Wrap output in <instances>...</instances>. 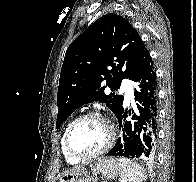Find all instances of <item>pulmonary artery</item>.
<instances>
[{
  "instance_id": "pulmonary-artery-1",
  "label": "pulmonary artery",
  "mask_w": 196,
  "mask_h": 182,
  "mask_svg": "<svg viewBox=\"0 0 196 182\" xmlns=\"http://www.w3.org/2000/svg\"><path fill=\"white\" fill-rule=\"evenodd\" d=\"M123 92L125 93V99L127 102L133 99V91L130 88L128 87L123 88Z\"/></svg>"
}]
</instances>
